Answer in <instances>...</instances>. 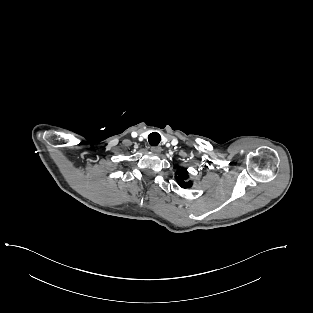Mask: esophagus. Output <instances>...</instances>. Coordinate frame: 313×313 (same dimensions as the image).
<instances>
[{"mask_svg": "<svg viewBox=\"0 0 313 313\" xmlns=\"http://www.w3.org/2000/svg\"><path fill=\"white\" fill-rule=\"evenodd\" d=\"M150 150H151L153 153H155V154H159L162 149H161V147H159V146H152V147L150 148Z\"/></svg>", "mask_w": 313, "mask_h": 313, "instance_id": "obj_1", "label": "esophagus"}]
</instances>
